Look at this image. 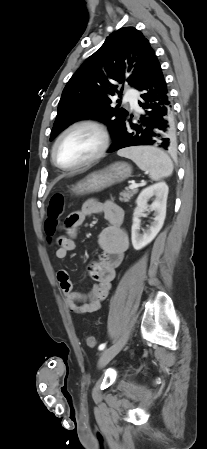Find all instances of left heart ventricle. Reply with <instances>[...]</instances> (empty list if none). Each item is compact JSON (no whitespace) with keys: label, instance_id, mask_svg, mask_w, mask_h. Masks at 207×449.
<instances>
[{"label":"left heart ventricle","instance_id":"left-heart-ventricle-1","mask_svg":"<svg viewBox=\"0 0 207 449\" xmlns=\"http://www.w3.org/2000/svg\"><path fill=\"white\" fill-rule=\"evenodd\" d=\"M98 134L89 128H78L69 132L56 150L58 162L63 166L73 165L91 157L99 148Z\"/></svg>","mask_w":207,"mask_h":449}]
</instances>
